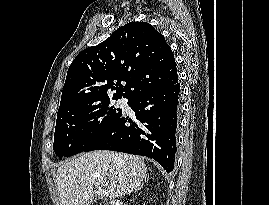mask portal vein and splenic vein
<instances>
[{
  "mask_svg": "<svg viewBox=\"0 0 269 205\" xmlns=\"http://www.w3.org/2000/svg\"><path fill=\"white\" fill-rule=\"evenodd\" d=\"M96 188L98 189L97 193H98L99 196H101V197H105V196H108V195H109L108 190L103 189V188L100 187L99 185H96Z\"/></svg>",
  "mask_w": 269,
  "mask_h": 205,
  "instance_id": "18ae733b",
  "label": "portal vein and splenic vein"
}]
</instances>
